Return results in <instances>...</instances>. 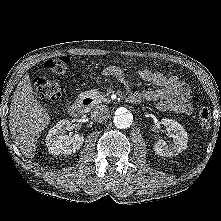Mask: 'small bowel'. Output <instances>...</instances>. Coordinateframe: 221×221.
Segmentation results:
<instances>
[{
    "mask_svg": "<svg viewBox=\"0 0 221 221\" xmlns=\"http://www.w3.org/2000/svg\"><path fill=\"white\" fill-rule=\"evenodd\" d=\"M140 78L156 86L154 89H146L142 92H135L139 96L133 103L141 100L154 101L159 111H171L181 115H190L193 111L189 103L190 89L182 80L172 74L153 72L142 69L138 72ZM103 77L125 76L124 71L117 66H108L101 72ZM130 95V96H132Z\"/></svg>",
    "mask_w": 221,
    "mask_h": 221,
    "instance_id": "obj_1",
    "label": "small bowel"
}]
</instances>
